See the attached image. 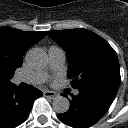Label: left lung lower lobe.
Returning a JSON list of instances; mask_svg holds the SVG:
<instances>
[{
  "label": "left lung lower lobe",
  "instance_id": "1",
  "mask_svg": "<svg viewBox=\"0 0 128 128\" xmlns=\"http://www.w3.org/2000/svg\"><path fill=\"white\" fill-rule=\"evenodd\" d=\"M118 88L113 85H93L79 89L77 96L72 95L69 110L59 114L58 118L73 128H88L106 114Z\"/></svg>",
  "mask_w": 128,
  "mask_h": 128
}]
</instances>
